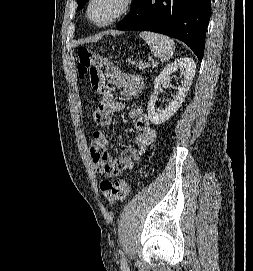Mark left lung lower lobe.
Instances as JSON below:
<instances>
[{
	"label": "left lung lower lobe",
	"instance_id": "obj_1",
	"mask_svg": "<svg viewBox=\"0 0 253 271\" xmlns=\"http://www.w3.org/2000/svg\"><path fill=\"white\" fill-rule=\"evenodd\" d=\"M211 0H136L118 30L161 33L186 43L202 61Z\"/></svg>",
	"mask_w": 253,
	"mask_h": 271
}]
</instances>
